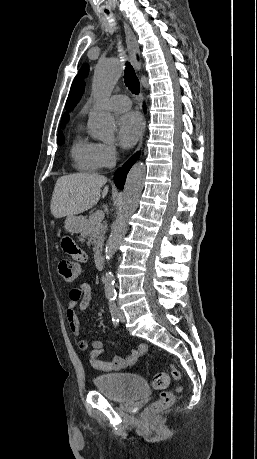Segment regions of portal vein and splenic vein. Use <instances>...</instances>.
<instances>
[{"label": "portal vein and splenic vein", "instance_id": "18ae733b", "mask_svg": "<svg viewBox=\"0 0 257 459\" xmlns=\"http://www.w3.org/2000/svg\"><path fill=\"white\" fill-rule=\"evenodd\" d=\"M94 215L97 221H102L104 219V212L101 210L96 211Z\"/></svg>", "mask_w": 257, "mask_h": 459}]
</instances>
